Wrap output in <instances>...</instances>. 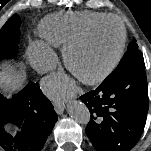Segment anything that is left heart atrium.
Listing matches in <instances>:
<instances>
[{"label":"left heart atrium","instance_id":"39dd6f15","mask_svg":"<svg viewBox=\"0 0 151 151\" xmlns=\"http://www.w3.org/2000/svg\"><path fill=\"white\" fill-rule=\"evenodd\" d=\"M44 90L57 101H62L71 96L75 90V82L62 74H53L43 82Z\"/></svg>","mask_w":151,"mask_h":151}]
</instances>
